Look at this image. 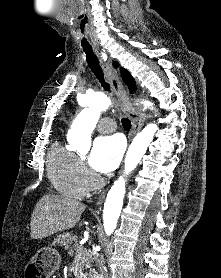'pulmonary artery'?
Instances as JSON below:
<instances>
[{
    "instance_id": "obj_1",
    "label": "pulmonary artery",
    "mask_w": 221,
    "mask_h": 278,
    "mask_svg": "<svg viewBox=\"0 0 221 278\" xmlns=\"http://www.w3.org/2000/svg\"><path fill=\"white\" fill-rule=\"evenodd\" d=\"M116 126L112 119L110 118H103L100 120L98 124V130L101 133H109L115 130Z\"/></svg>"
}]
</instances>
